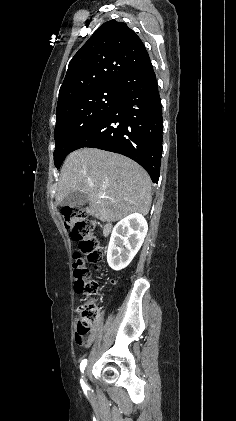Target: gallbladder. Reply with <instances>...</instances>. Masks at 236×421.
<instances>
[{"instance_id":"gallbladder-1","label":"gallbladder","mask_w":236,"mask_h":421,"mask_svg":"<svg viewBox=\"0 0 236 421\" xmlns=\"http://www.w3.org/2000/svg\"><path fill=\"white\" fill-rule=\"evenodd\" d=\"M88 202V196L86 192H81V190H74V192H70L67 194L61 202H59L60 206H78V204H85Z\"/></svg>"}]
</instances>
